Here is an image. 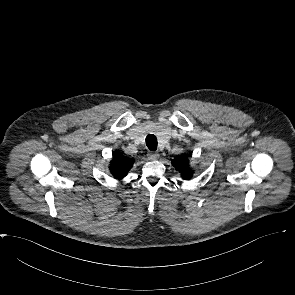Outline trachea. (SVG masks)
<instances>
[{
    "mask_svg": "<svg viewBox=\"0 0 295 295\" xmlns=\"http://www.w3.org/2000/svg\"><path fill=\"white\" fill-rule=\"evenodd\" d=\"M146 145L147 147L154 151L157 149V138L155 135L153 134H149L147 137H146Z\"/></svg>",
    "mask_w": 295,
    "mask_h": 295,
    "instance_id": "3493384b",
    "label": "trachea"
}]
</instances>
